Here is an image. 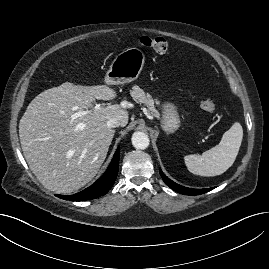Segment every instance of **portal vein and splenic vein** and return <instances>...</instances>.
Instances as JSON below:
<instances>
[{
    "instance_id": "18ae733b",
    "label": "portal vein and splenic vein",
    "mask_w": 269,
    "mask_h": 269,
    "mask_svg": "<svg viewBox=\"0 0 269 269\" xmlns=\"http://www.w3.org/2000/svg\"><path fill=\"white\" fill-rule=\"evenodd\" d=\"M100 107H101V104H96V106L94 108L100 109ZM82 114H85V112H78V113L74 114V117H79Z\"/></svg>"
}]
</instances>
